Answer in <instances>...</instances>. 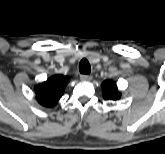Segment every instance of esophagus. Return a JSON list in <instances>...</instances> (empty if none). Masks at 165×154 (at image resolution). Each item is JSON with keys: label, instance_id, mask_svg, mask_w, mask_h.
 Listing matches in <instances>:
<instances>
[{"label": "esophagus", "instance_id": "1", "mask_svg": "<svg viewBox=\"0 0 165 154\" xmlns=\"http://www.w3.org/2000/svg\"><path fill=\"white\" fill-rule=\"evenodd\" d=\"M80 78L83 80V81H90L92 79V76L91 75H87V74H81L80 75Z\"/></svg>", "mask_w": 165, "mask_h": 154}]
</instances>
